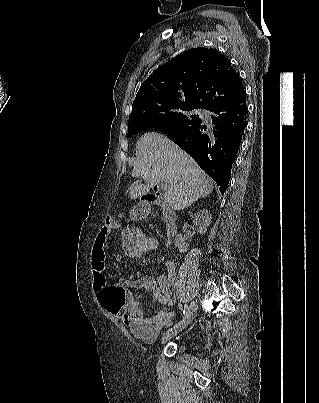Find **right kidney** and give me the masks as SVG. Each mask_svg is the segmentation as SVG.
Returning a JSON list of instances; mask_svg holds the SVG:
<instances>
[{"instance_id": "ca27d5eb", "label": "right kidney", "mask_w": 319, "mask_h": 403, "mask_svg": "<svg viewBox=\"0 0 319 403\" xmlns=\"http://www.w3.org/2000/svg\"><path fill=\"white\" fill-rule=\"evenodd\" d=\"M212 216L207 209L200 210L193 216V224L196 226L198 232L203 235L207 232V228L211 223ZM175 245L178 247L180 253L188 250L189 245L185 242V237L177 234L175 237Z\"/></svg>"}]
</instances>
